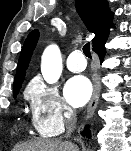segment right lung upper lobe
<instances>
[{"instance_id": "obj_1", "label": "right lung upper lobe", "mask_w": 131, "mask_h": 151, "mask_svg": "<svg viewBox=\"0 0 131 151\" xmlns=\"http://www.w3.org/2000/svg\"><path fill=\"white\" fill-rule=\"evenodd\" d=\"M76 8L81 19L90 32L95 34L92 40L93 48L107 39L109 28L112 25L113 13L108 9L106 0H76ZM39 38L38 30H33L25 40L18 61L13 88H21L26 69L29 65L32 52Z\"/></svg>"}]
</instances>
